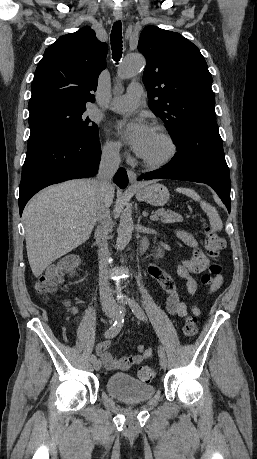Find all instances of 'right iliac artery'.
Returning a JSON list of instances; mask_svg holds the SVG:
<instances>
[{"instance_id":"82829eb1","label":"right iliac artery","mask_w":257,"mask_h":459,"mask_svg":"<svg viewBox=\"0 0 257 459\" xmlns=\"http://www.w3.org/2000/svg\"><path fill=\"white\" fill-rule=\"evenodd\" d=\"M124 323V313L123 311H119L118 318L114 322V324L105 332V338H113L115 337L122 329ZM92 362L97 360V357L95 355L91 356Z\"/></svg>"}]
</instances>
